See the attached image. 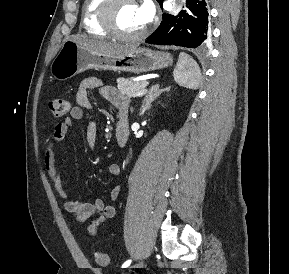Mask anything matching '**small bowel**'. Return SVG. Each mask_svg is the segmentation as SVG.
Here are the masks:
<instances>
[{"instance_id": "obj_1", "label": "small bowel", "mask_w": 289, "mask_h": 274, "mask_svg": "<svg viewBox=\"0 0 289 274\" xmlns=\"http://www.w3.org/2000/svg\"><path fill=\"white\" fill-rule=\"evenodd\" d=\"M92 90H99L101 95L110 103L115 105L121 113H127L128 101L115 87L104 85L96 77H89L80 82L76 91L77 105L70 109V116L61 123L55 125L51 140L48 142L45 155V169L59 196L64 200L63 208L70 213L77 222H85L94 217L87 227L91 237L97 235L99 227L115 215V208L111 203H105L102 199L96 198L87 202H80L71 199L70 194L62 184V169L58 164L55 147L61 144L67 136L69 127L74 120H80L86 110L91 109L89 94ZM86 142L90 148H94L97 142V128L94 121H90L86 129ZM107 172L112 177L120 175L121 169L118 164H110ZM120 194V186H114L109 193V200L115 201Z\"/></svg>"}]
</instances>
